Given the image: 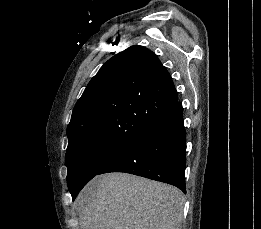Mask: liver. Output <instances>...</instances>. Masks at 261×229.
<instances>
[{"label":"liver","mask_w":261,"mask_h":229,"mask_svg":"<svg viewBox=\"0 0 261 229\" xmlns=\"http://www.w3.org/2000/svg\"><path fill=\"white\" fill-rule=\"evenodd\" d=\"M76 207L82 229H179L184 195L171 185L108 173L84 187Z\"/></svg>","instance_id":"1"}]
</instances>
